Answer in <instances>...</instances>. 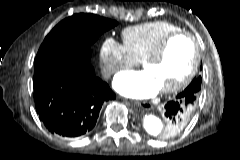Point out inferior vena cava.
<instances>
[{
    "label": "inferior vena cava",
    "instance_id": "602c4592",
    "mask_svg": "<svg viewBox=\"0 0 240 160\" xmlns=\"http://www.w3.org/2000/svg\"><path fill=\"white\" fill-rule=\"evenodd\" d=\"M114 72H115L114 69L108 68V69H104L102 73H103L104 77L107 78V77H110Z\"/></svg>",
    "mask_w": 240,
    "mask_h": 160
}]
</instances>
